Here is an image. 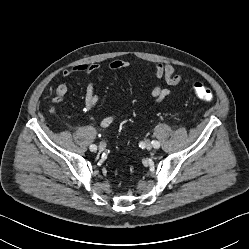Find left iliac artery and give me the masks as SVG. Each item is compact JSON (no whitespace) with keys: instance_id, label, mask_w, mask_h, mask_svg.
<instances>
[{"instance_id":"1","label":"left iliac artery","mask_w":249,"mask_h":249,"mask_svg":"<svg viewBox=\"0 0 249 249\" xmlns=\"http://www.w3.org/2000/svg\"><path fill=\"white\" fill-rule=\"evenodd\" d=\"M152 145H153L154 148H159L160 147V142H158L156 140H153Z\"/></svg>"}]
</instances>
